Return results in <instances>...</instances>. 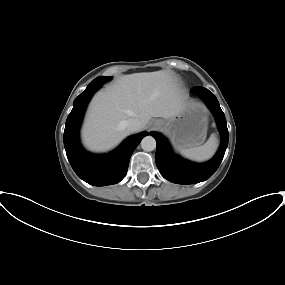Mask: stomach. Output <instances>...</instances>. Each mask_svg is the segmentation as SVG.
Returning a JSON list of instances; mask_svg holds the SVG:
<instances>
[{"mask_svg": "<svg viewBox=\"0 0 285 285\" xmlns=\"http://www.w3.org/2000/svg\"><path fill=\"white\" fill-rule=\"evenodd\" d=\"M162 130L173 146L182 150L201 145L207 133V109L198 102L186 106L178 115L162 121Z\"/></svg>", "mask_w": 285, "mask_h": 285, "instance_id": "0dacf381", "label": "stomach"}]
</instances>
